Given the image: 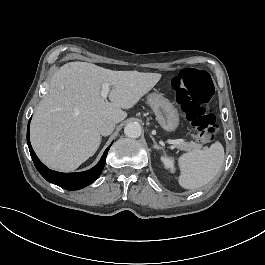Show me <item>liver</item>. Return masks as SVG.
Returning <instances> with one entry per match:
<instances>
[{"mask_svg": "<svg viewBox=\"0 0 265 265\" xmlns=\"http://www.w3.org/2000/svg\"><path fill=\"white\" fill-rule=\"evenodd\" d=\"M159 73L113 71L87 62H69L51 78L30 127L32 147L50 169L69 172L93 156L101 143L99 119L119 123L160 80ZM109 83V100L101 86Z\"/></svg>", "mask_w": 265, "mask_h": 265, "instance_id": "6515ba94", "label": "liver"}]
</instances>
